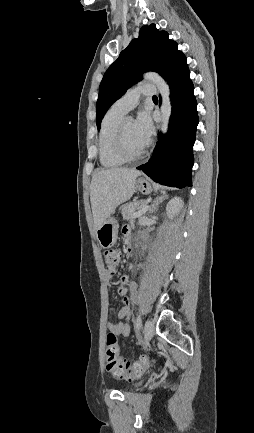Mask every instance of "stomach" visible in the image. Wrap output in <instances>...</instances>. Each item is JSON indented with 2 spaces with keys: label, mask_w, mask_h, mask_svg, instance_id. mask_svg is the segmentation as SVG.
Masks as SVG:
<instances>
[{
  "label": "stomach",
  "mask_w": 254,
  "mask_h": 433,
  "mask_svg": "<svg viewBox=\"0 0 254 433\" xmlns=\"http://www.w3.org/2000/svg\"><path fill=\"white\" fill-rule=\"evenodd\" d=\"M136 189L143 194H150L153 187L145 178H139L136 182ZM118 224L113 217H108L104 223L96 230L97 240L102 248L112 247L117 240Z\"/></svg>",
  "instance_id": "0dacf381"
}]
</instances>
